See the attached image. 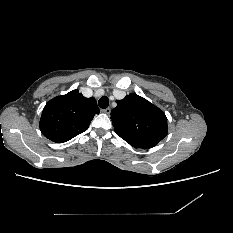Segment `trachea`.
<instances>
[{
  "instance_id": "trachea-1",
  "label": "trachea",
  "mask_w": 233,
  "mask_h": 233,
  "mask_svg": "<svg viewBox=\"0 0 233 233\" xmlns=\"http://www.w3.org/2000/svg\"><path fill=\"white\" fill-rule=\"evenodd\" d=\"M98 105L103 109L107 108L109 106L108 97L107 96H102L98 101Z\"/></svg>"
}]
</instances>
